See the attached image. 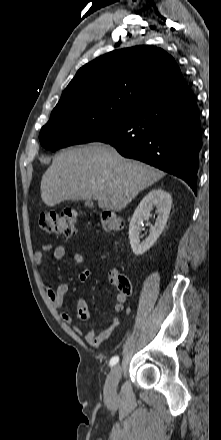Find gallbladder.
<instances>
[{
	"label": "gallbladder",
	"mask_w": 221,
	"mask_h": 440,
	"mask_svg": "<svg viewBox=\"0 0 221 440\" xmlns=\"http://www.w3.org/2000/svg\"><path fill=\"white\" fill-rule=\"evenodd\" d=\"M85 205L86 206H92L93 205V201L88 199V200L85 201Z\"/></svg>",
	"instance_id": "obj_1"
}]
</instances>
